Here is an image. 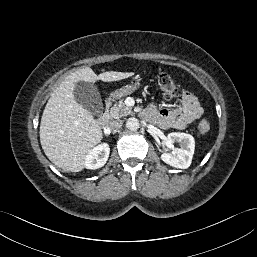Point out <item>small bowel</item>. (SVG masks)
Returning <instances> with one entry per match:
<instances>
[{"mask_svg": "<svg viewBox=\"0 0 257 257\" xmlns=\"http://www.w3.org/2000/svg\"><path fill=\"white\" fill-rule=\"evenodd\" d=\"M144 114L163 129L183 130L202 116L203 109L197 97L184 89L180 102L173 109H158L149 105L144 109Z\"/></svg>", "mask_w": 257, "mask_h": 257, "instance_id": "1", "label": "small bowel"}]
</instances>
